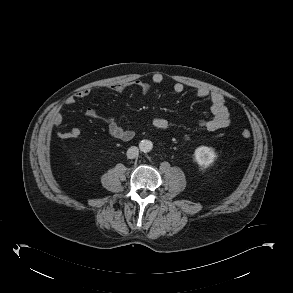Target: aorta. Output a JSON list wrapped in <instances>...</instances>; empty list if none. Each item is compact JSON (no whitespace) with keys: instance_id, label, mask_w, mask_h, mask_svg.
Instances as JSON below:
<instances>
[{"instance_id":"aorta-1","label":"aorta","mask_w":293,"mask_h":293,"mask_svg":"<svg viewBox=\"0 0 293 293\" xmlns=\"http://www.w3.org/2000/svg\"><path fill=\"white\" fill-rule=\"evenodd\" d=\"M139 148L142 152L147 153L150 152L153 148V144L150 140H142L139 143Z\"/></svg>"}]
</instances>
